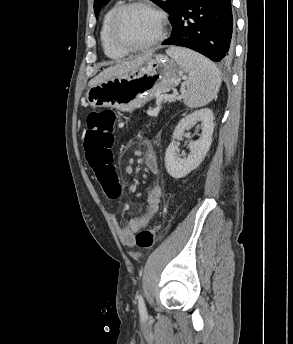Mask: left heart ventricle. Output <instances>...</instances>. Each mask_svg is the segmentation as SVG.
Masks as SVG:
<instances>
[{
    "label": "left heart ventricle",
    "mask_w": 293,
    "mask_h": 344,
    "mask_svg": "<svg viewBox=\"0 0 293 344\" xmlns=\"http://www.w3.org/2000/svg\"><path fill=\"white\" fill-rule=\"evenodd\" d=\"M158 32V18L144 8L127 10L119 22V35L128 44L146 43L156 37Z\"/></svg>",
    "instance_id": "obj_1"
}]
</instances>
